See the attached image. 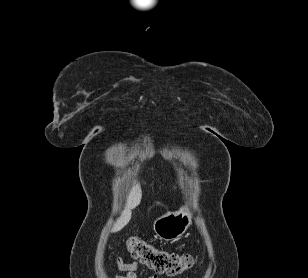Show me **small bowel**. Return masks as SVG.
Wrapping results in <instances>:
<instances>
[{"label": "small bowel", "mask_w": 308, "mask_h": 278, "mask_svg": "<svg viewBox=\"0 0 308 278\" xmlns=\"http://www.w3.org/2000/svg\"><path fill=\"white\" fill-rule=\"evenodd\" d=\"M116 267L121 272V274L117 275L115 278H137L135 273V270L138 268L137 262L126 263L121 257H117ZM148 278H157V276L152 275Z\"/></svg>", "instance_id": "1"}]
</instances>
